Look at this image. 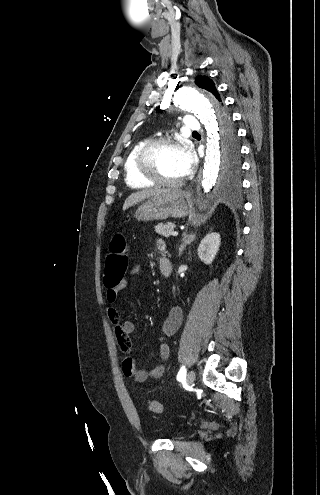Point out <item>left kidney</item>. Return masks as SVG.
<instances>
[{"instance_id": "obj_1", "label": "left kidney", "mask_w": 320, "mask_h": 495, "mask_svg": "<svg viewBox=\"0 0 320 495\" xmlns=\"http://www.w3.org/2000/svg\"><path fill=\"white\" fill-rule=\"evenodd\" d=\"M220 243L221 239L219 233H210L206 235L198 247L199 258L205 264L212 263L218 253Z\"/></svg>"}]
</instances>
